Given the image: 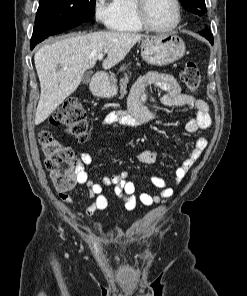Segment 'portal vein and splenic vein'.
<instances>
[{
	"label": "portal vein and splenic vein",
	"instance_id": "obj_1",
	"mask_svg": "<svg viewBox=\"0 0 247 296\" xmlns=\"http://www.w3.org/2000/svg\"><path fill=\"white\" fill-rule=\"evenodd\" d=\"M103 57H104V54H103V53H101V54L98 55V59H99V60H102Z\"/></svg>",
	"mask_w": 247,
	"mask_h": 296
}]
</instances>
